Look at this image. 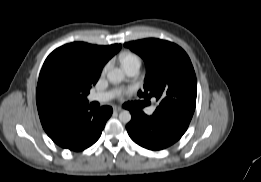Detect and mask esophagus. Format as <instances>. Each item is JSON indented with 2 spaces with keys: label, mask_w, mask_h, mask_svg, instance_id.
I'll list each match as a JSON object with an SVG mask.
<instances>
[{
  "label": "esophagus",
  "mask_w": 261,
  "mask_h": 182,
  "mask_svg": "<svg viewBox=\"0 0 261 182\" xmlns=\"http://www.w3.org/2000/svg\"><path fill=\"white\" fill-rule=\"evenodd\" d=\"M113 110H114L115 112H121L123 109L120 108V107H114Z\"/></svg>",
  "instance_id": "1"
}]
</instances>
